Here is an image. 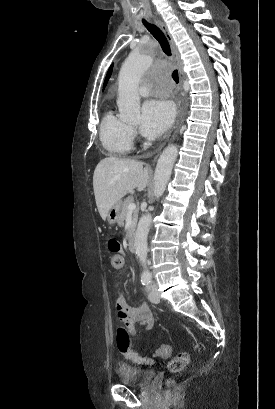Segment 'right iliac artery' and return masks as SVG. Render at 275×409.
<instances>
[{"label": "right iliac artery", "mask_w": 275, "mask_h": 409, "mask_svg": "<svg viewBox=\"0 0 275 409\" xmlns=\"http://www.w3.org/2000/svg\"><path fill=\"white\" fill-rule=\"evenodd\" d=\"M142 285H148L150 282V277L149 276H144L141 279Z\"/></svg>", "instance_id": "right-iliac-artery-1"}]
</instances>
